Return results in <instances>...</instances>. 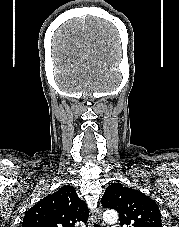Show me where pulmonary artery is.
<instances>
[{"mask_svg": "<svg viewBox=\"0 0 179 227\" xmlns=\"http://www.w3.org/2000/svg\"><path fill=\"white\" fill-rule=\"evenodd\" d=\"M112 227H121V226L118 224H114V225H112Z\"/></svg>", "mask_w": 179, "mask_h": 227, "instance_id": "obj_1", "label": "pulmonary artery"}]
</instances>
